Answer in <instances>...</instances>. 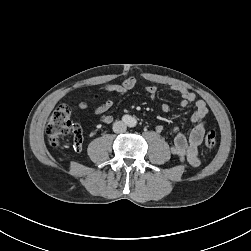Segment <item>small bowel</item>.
<instances>
[{"label":"small bowel","mask_w":251,"mask_h":251,"mask_svg":"<svg viewBox=\"0 0 251 251\" xmlns=\"http://www.w3.org/2000/svg\"><path fill=\"white\" fill-rule=\"evenodd\" d=\"M137 85V80L134 77H128L122 82L117 84H106L100 87V90L104 92L115 93V99H109L99 105L98 107L91 110V113L98 117L99 121L104 124H109L113 121V116L108 111L116 103V99L123 97ZM172 91L178 93L181 97L180 105L182 107L188 106L190 103H194L195 110L191 116L193 128L190 131L188 137L175 130L176 136L171 146V153L178 157L180 161L187 162L191 166H198L200 164V157L198 154V146L203 140L205 133V118L208 114V108L205 101L197 99L196 95L190 90L184 87H172ZM145 92L151 100H155L158 94V88L154 85L147 86ZM79 108L83 111H88L89 108L84 102L79 103ZM161 111L165 114L171 113L170 105L164 103L161 106ZM163 126H156V131L161 133ZM76 150H81L82 143L74 146Z\"/></svg>","instance_id":"small-bowel-1"}]
</instances>
